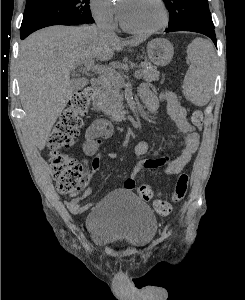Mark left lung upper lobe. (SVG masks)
Returning <instances> with one entry per match:
<instances>
[{"label":"left lung upper lobe","instance_id":"5c2ea615","mask_svg":"<svg viewBox=\"0 0 245 300\" xmlns=\"http://www.w3.org/2000/svg\"><path fill=\"white\" fill-rule=\"evenodd\" d=\"M169 11L168 28L182 23H197L214 27L207 0H163Z\"/></svg>","mask_w":245,"mask_h":300}]
</instances>
